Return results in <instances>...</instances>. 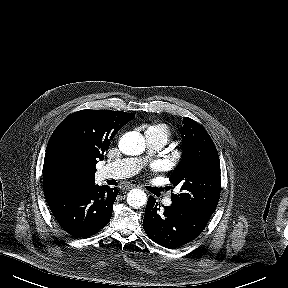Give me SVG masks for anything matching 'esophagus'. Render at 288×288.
Segmentation results:
<instances>
[{
	"label": "esophagus",
	"instance_id": "1",
	"mask_svg": "<svg viewBox=\"0 0 288 288\" xmlns=\"http://www.w3.org/2000/svg\"><path fill=\"white\" fill-rule=\"evenodd\" d=\"M133 187H134V186L131 185V186H128L126 189H131V188H133Z\"/></svg>",
	"mask_w": 288,
	"mask_h": 288
}]
</instances>
